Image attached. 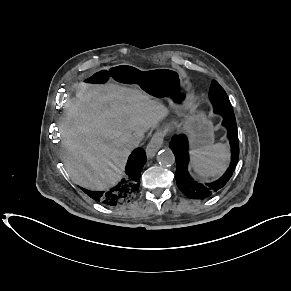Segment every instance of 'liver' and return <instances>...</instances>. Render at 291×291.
I'll use <instances>...</instances> for the list:
<instances>
[{"label": "liver", "instance_id": "obj_1", "mask_svg": "<svg viewBox=\"0 0 291 291\" xmlns=\"http://www.w3.org/2000/svg\"><path fill=\"white\" fill-rule=\"evenodd\" d=\"M68 102L59 131L63 162L72 179L90 190H104L121 178L132 136L144 133L167 115V108L136 87L115 82L79 85Z\"/></svg>", "mask_w": 291, "mask_h": 291}]
</instances>
